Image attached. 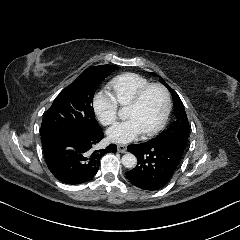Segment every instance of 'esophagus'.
<instances>
[{"label": "esophagus", "instance_id": "1", "mask_svg": "<svg viewBox=\"0 0 240 240\" xmlns=\"http://www.w3.org/2000/svg\"><path fill=\"white\" fill-rule=\"evenodd\" d=\"M127 150V145L125 144H118L117 145V151L120 153H125Z\"/></svg>", "mask_w": 240, "mask_h": 240}]
</instances>
